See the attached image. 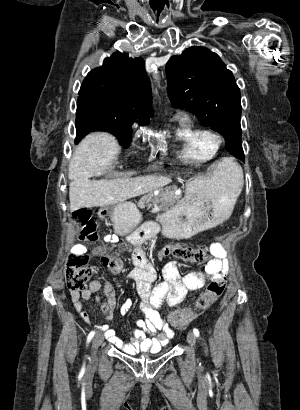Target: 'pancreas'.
Wrapping results in <instances>:
<instances>
[{"label":"pancreas","mask_w":300,"mask_h":410,"mask_svg":"<svg viewBox=\"0 0 300 410\" xmlns=\"http://www.w3.org/2000/svg\"><path fill=\"white\" fill-rule=\"evenodd\" d=\"M181 198V195L175 194L173 190H165L160 191L158 195H154L153 193H149L143 196L138 203L140 207H144L145 205L148 206H156L160 204V207L164 210L173 207Z\"/></svg>","instance_id":"cf45deb5"}]
</instances>
